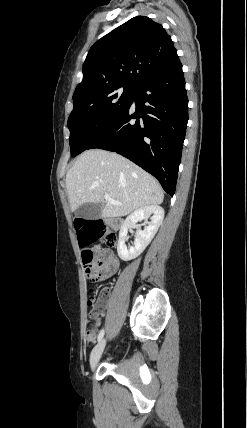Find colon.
Here are the masks:
<instances>
[{
  "instance_id": "5ec220e1",
  "label": "colon",
  "mask_w": 247,
  "mask_h": 428,
  "mask_svg": "<svg viewBox=\"0 0 247 428\" xmlns=\"http://www.w3.org/2000/svg\"><path fill=\"white\" fill-rule=\"evenodd\" d=\"M78 229L76 234V243H81L82 260L84 265V272L90 281L97 280V273L104 265V258L100 256L95 259V252L89 248L91 243H99L103 239L104 243L109 247H114L118 242V235L115 230L105 226L100 221H88L86 217H79L77 219ZM99 303L94 298H91L88 305L92 307L90 316L94 317L99 311ZM93 328H88L86 334H91Z\"/></svg>"
}]
</instances>
